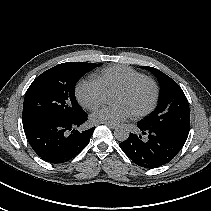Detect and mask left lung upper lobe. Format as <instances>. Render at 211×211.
<instances>
[{
	"instance_id": "1",
	"label": "left lung upper lobe",
	"mask_w": 211,
	"mask_h": 211,
	"mask_svg": "<svg viewBox=\"0 0 211 211\" xmlns=\"http://www.w3.org/2000/svg\"><path fill=\"white\" fill-rule=\"evenodd\" d=\"M140 68L150 71L160 83L157 109L140 123L146 127L165 130L186 141L190 129V109L183 90L160 70L148 66Z\"/></svg>"
}]
</instances>
